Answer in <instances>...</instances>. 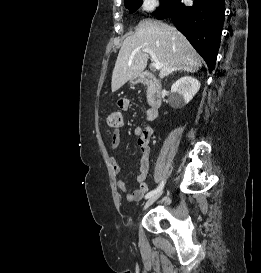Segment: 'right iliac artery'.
Masks as SVG:
<instances>
[{
	"mask_svg": "<svg viewBox=\"0 0 261 273\" xmlns=\"http://www.w3.org/2000/svg\"><path fill=\"white\" fill-rule=\"evenodd\" d=\"M163 187H164V181H162V182L160 183V185H159L156 189H154V190L148 192V193L146 194L145 198H146V199H147V198H150L151 196H153L154 194H156L158 191L162 190Z\"/></svg>",
	"mask_w": 261,
	"mask_h": 273,
	"instance_id": "82829eb1",
	"label": "right iliac artery"
}]
</instances>
